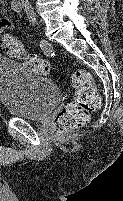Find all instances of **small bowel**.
<instances>
[{"label": "small bowel", "instance_id": "obj_1", "mask_svg": "<svg viewBox=\"0 0 123 201\" xmlns=\"http://www.w3.org/2000/svg\"><path fill=\"white\" fill-rule=\"evenodd\" d=\"M12 28H13V23L11 19H9L8 17H3L0 19V52L3 50L2 41L5 36V31Z\"/></svg>", "mask_w": 123, "mask_h": 201}]
</instances>
